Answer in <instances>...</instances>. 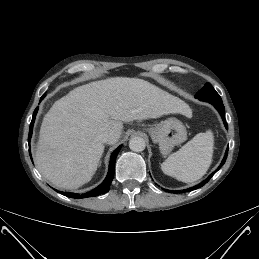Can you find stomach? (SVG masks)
I'll return each mask as SVG.
<instances>
[{
    "label": "stomach",
    "mask_w": 259,
    "mask_h": 259,
    "mask_svg": "<svg viewBox=\"0 0 259 259\" xmlns=\"http://www.w3.org/2000/svg\"><path fill=\"white\" fill-rule=\"evenodd\" d=\"M148 133L154 143L159 145L162 155H168L175 146L187 138L186 127L176 118H167L160 124L151 126Z\"/></svg>",
    "instance_id": "1"
}]
</instances>
